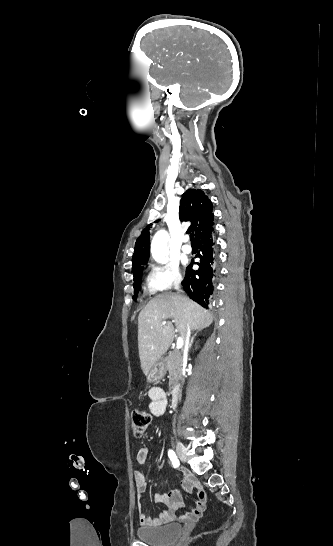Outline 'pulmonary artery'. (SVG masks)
Returning a JSON list of instances; mask_svg holds the SVG:
<instances>
[{
	"label": "pulmonary artery",
	"instance_id": "1",
	"mask_svg": "<svg viewBox=\"0 0 333 546\" xmlns=\"http://www.w3.org/2000/svg\"><path fill=\"white\" fill-rule=\"evenodd\" d=\"M181 250H182V252L185 253V254L191 253L192 248H191V246H190L189 244H187V239H185V243H184V245L181 247Z\"/></svg>",
	"mask_w": 333,
	"mask_h": 546
}]
</instances>
